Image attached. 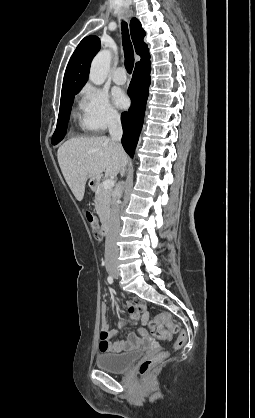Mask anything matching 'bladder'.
Here are the masks:
<instances>
[{"mask_svg":"<svg viewBox=\"0 0 255 418\" xmlns=\"http://www.w3.org/2000/svg\"><path fill=\"white\" fill-rule=\"evenodd\" d=\"M140 350L122 353H102L96 357L99 369L111 373H123L141 356Z\"/></svg>","mask_w":255,"mask_h":418,"instance_id":"bladder-1","label":"bladder"}]
</instances>
